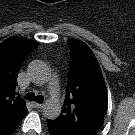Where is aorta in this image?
I'll list each match as a JSON object with an SVG mask.
<instances>
[{
  "instance_id": "obj_1",
  "label": "aorta",
  "mask_w": 135,
  "mask_h": 135,
  "mask_svg": "<svg viewBox=\"0 0 135 135\" xmlns=\"http://www.w3.org/2000/svg\"><path fill=\"white\" fill-rule=\"evenodd\" d=\"M49 68L42 61H33L29 66V73L33 81L36 83H45L49 79ZM61 113V106L53 100H47L43 107V115L45 118L54 120Z\"/></svg>"
}]
</instances>
